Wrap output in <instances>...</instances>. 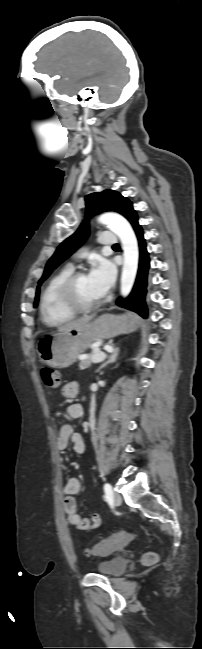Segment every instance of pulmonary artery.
<instances>
[{
  "instance_id": "pulmonary-artery-1",
  "label": "pulmonary artery",
  "mask_w": 202,
  "mask_h": 649,
  "mask_svg": "<svg viewBox=\"0 0 202 649\" xmlns=\"http://www.w3.org/2000/svg\"><path fill=\"white\" fill-rule=\"evenodd\" d=\"M98 242L103 246L113 247L118 242V239L115 234L106 231L99 235Z\"/></svg>"
}]
</instances>
